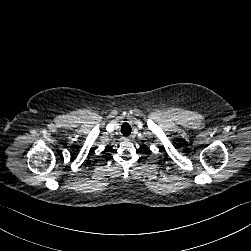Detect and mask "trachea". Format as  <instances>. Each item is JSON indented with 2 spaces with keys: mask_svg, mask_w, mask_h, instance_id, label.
I'll list each match as a JSON object with an SVG mask.
<instances>
[{
  "mask_svg": "<svg viewBox=\"0 0 251 251\" xmlns=\"http://www.w3.org/2000/svg\"><path fill=\"white\" fill-rule=\"evenodd\" d=\"M131 126L128 124V123H124L122 126H121V133L124 135V136H129L131 134Z\"/></svg>",
  "mask_w": 251,
  "mask_h": 251,
  "instance_id": "trachea-1",
  "label": "trachea"
}]
</instances>
